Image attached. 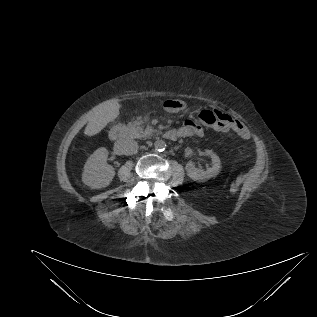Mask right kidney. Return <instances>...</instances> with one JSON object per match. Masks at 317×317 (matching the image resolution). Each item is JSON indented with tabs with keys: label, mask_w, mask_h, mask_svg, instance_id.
I'll return each instance as SVG.
<instances>
[{
	"label": "right kidney",
	"mask_w": 317,
	"mask_h": 317,
	"mask_svg": "<svg viewBox=\"0 0 317 317\" xmlns=\"http://www.w3.org/2000/svg\"><path fill=\"white\" fill-rule=\"evenodd\" d=\"M108 151L101 147L97 149L84 165L82 181L92 189L108 186L115 176L114 168L106 163Z\"/></svg>",
	"instance_id": "ca27d5eb"
}]
</instances>
